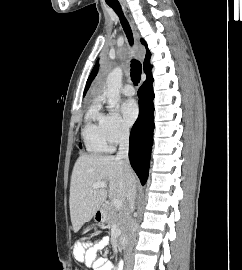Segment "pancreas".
<instances>
[{"instance_id": "1", "label": "pancreas", "mask_w": 242, "mask_h": 270, "mask_svg": "<svg viewBox=\"0 0 242 270\" xmlns=\"http://www.w3.org/2000/svg\"><path fill=\"white\" fill-rule=\"evenodd\" d=\"M106 223L109 225L116 224L121 233H124L128 226L129 220L124 209H117L112 203L105 207Z\"/></svg>"}]
</instances>
